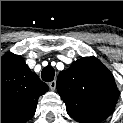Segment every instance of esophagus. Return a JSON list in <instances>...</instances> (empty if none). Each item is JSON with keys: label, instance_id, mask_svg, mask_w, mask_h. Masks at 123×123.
Returning a JSON list of instances; mask_svg holds the SVG:
<instances>
[{"label": "esophagus", "instance_id": "obj_1", "mask_svg": "<svg viewBox=\"0 0 123 123\" xmlns=\"http://www.w3.org/2000/svg\"><path fill=\"white\" fill-rule=\"evenodd\" d=\"M48 86H49V88H50L51 90H55V88H56V81L53 80V81L49 82V83H48Z\"/></svg>", "mask_w": 123, "mask_h": 123}]
</instances>
